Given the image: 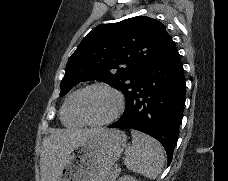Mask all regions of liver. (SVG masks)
<instances>
[{
  "mask_svg": "<svg viewBox=\"0 0 228 181\" xmlns=\"http://www.w3.org/2000/svg\"><path fill=\"white\" fill-rule=\"evenodd\" d=\"M96 131L103 129H52L51 135L46 137L42 147L41 181H59L69 153L81 141H85L90 133Z\"/></svg>",
  "mask_w": 228,
  "mask_h": 181,
  "instance_id": "liver-1",
  "label": "liver"
}]
</instances>
